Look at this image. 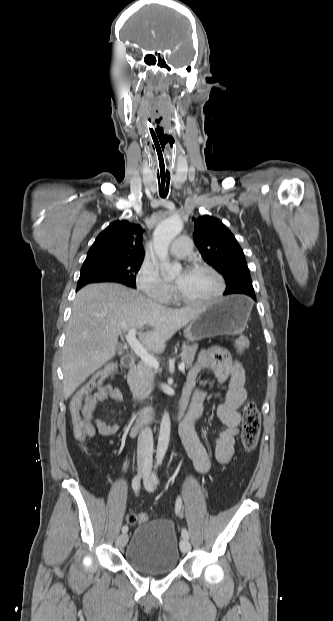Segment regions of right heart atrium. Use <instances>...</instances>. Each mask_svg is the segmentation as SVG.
<instances>
[{
	"mask_svg": "<svg viewBox=\"0 0 333 621\" xmlns=\"http://www.w3.org/2000/svg\"><path fill=\"white\" fill-rule=\"evenodd\" d=\"M137 288L148 298L167 303L172 296V287L159 275L158 270L149 263H143L136 277Z\"/></svg>",
	"mask_w": 333,
	"mask_h": 621,
	"instance_id": "right-heart-atrium-1",
	"label": "right heart atrium"
}]
</instances>
